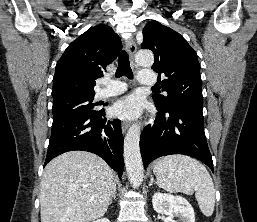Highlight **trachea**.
I'll use <instances>...</instances> for the list:
<instances>
[{"label": "trachea", "mask_w": 257, "mask_h": 222, "mask_svg": "<svg viewBox=\"0 0 257 222\" xmlns=\"http://www.w3.org/2000/svg\"><path fill=\"white\" fill-rule=\"evenodd\" d=\"M115 76L117 78L126 76L129 79H133V72L130 67L129 55L124 50L120 53V56L118 59V68L116 70ZM153 88H155V87H153Z\"/></svg>", "instance_id": "1"}]
</instances>
